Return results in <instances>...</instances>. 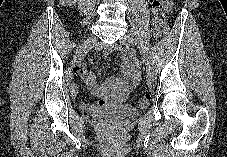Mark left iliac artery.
I'll return each mask as SVG.
<instances>
[{
  "mask_svg": "<svg viewBox=\"0 0 227 157\" xmlns=\"http://www.w3.org/2000/svg\"><path fill=\"white\" fill-rule=\"evenodd\" d=\"M137 41H139V49L144 56H148L149 48L144 44V39L142 38L141 34H135Z\"/></svg>",
  "mask_w": 227,
  "mask_h": 157,
  "instance_id": "1",
  "label": "left iliac artery"
}]
</instances>
